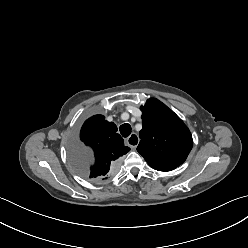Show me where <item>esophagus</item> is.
<instances>
[{
  "instance_id": "obj_1",
  "label": "esophagus",
  "mask_w": 248,
  "mask_h": 248,
  "mask_svg": "<svg viewBox=\"0 0 248 248\" xmlns=\"http://www.w3.org/2000/svg\"><path fill=\"white\" fill-rule=\"evenodd\" d=\"M128 146H130L132 149H136L138 146L140 139L137 134L132 133L126 140Z\"/></svg>"
}]
</instances>
